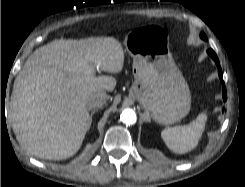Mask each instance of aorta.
Segmentation results:
<instances>
[{
	"label": "aorta",
	"instance_id": "1",
	"mask_svg": "<svg viewBox=\"0 0 245 187\" xmlns=\"http://www.w3.org/2000/svg\"><path fill=\"white\" fill-rule=\"evenodd\" d=\"M120 119L126 125H133L136 123L137 117L132 109H125L122 111Z\"/></svg>",
	"mask_w": 245,
	"mask_h": 187
}]
</instances>
